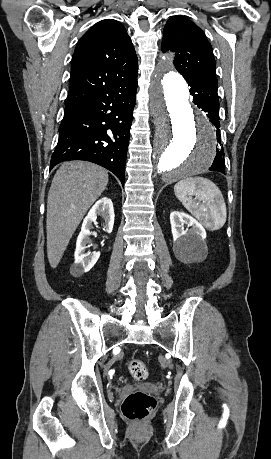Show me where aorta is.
Masks as SVG:
<instances>
[{"mask_svg": "<svg viewBox=\"0 0 271 459\" xmlns=\"http://www.w3.org/2000/svg\"><path fill=\"white\" fill-rule=\"evenodd\" d=\"M173 57L166 55L152 76L151 112L155 121L154 170L168 181L206 171L216 155L212 125L189 102L188 85L173 71Z\"/></svg>", "mask_w": 271, "mask_h": 459, "instance_id": "762f6f07", "label": "aorta"}]
</instances>
